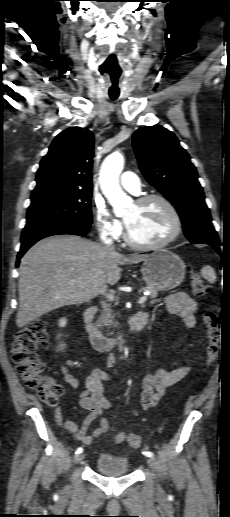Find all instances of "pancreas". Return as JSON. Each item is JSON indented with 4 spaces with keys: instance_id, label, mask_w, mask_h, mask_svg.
Segmentation results:
<instances>
[{
    "instance_id": "pancreas-1",
    "label": "pancreas",
    "mask_w": 230,
    "mask_h": 517,
    "mask_svg": "<svg viewBox=\"0 0 230 517\" xmlns=\"http://www.w3.org/2000/svg\"><path fill=\"white\" fill-rule=\"evenodd\" d=\"M141 292H144V291H149V295L151 298H156L157 295H158V291L156 289H153V288H150V287H143L141 288L140 290ZM113 314H112V310L110 308V305L109 304H103L102 305V312H101V315L99 317V319L97 320V325L100 326V327H103V326H110L113 324Z\"/></svg>"
}]
</instances>
